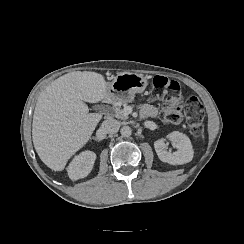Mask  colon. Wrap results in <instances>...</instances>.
Segmentation results:
<instances>
[{
	"mask_svg": "<svg viewBox=\"0 0 244 244\" xmlns=\"http://www.w3.org/2000/svg\"><path fill=\"white\" fill-rule=\"evenodd\" d=\"M154 99L158 102L163 100L168 104L164 105V113L173 118L174 123L182 121L181 113H184L189 125L190 133L194 137H200L203 133L204 106L196 97H189L186 101L180 99V85L175 80L162 76H155L152 81Z\"/></svg>",
	"mask_w": 244,
	"mask_h": 244,
	"instance_id": "1",
	"label": "colon"
}]
</instances>
